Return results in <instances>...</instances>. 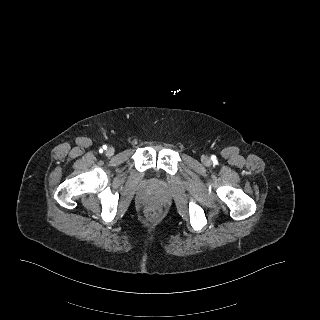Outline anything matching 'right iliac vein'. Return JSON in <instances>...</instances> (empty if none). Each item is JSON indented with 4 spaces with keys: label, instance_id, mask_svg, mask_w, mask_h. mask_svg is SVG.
<instances>
[{
    "label": "right iliac vein",
    "instance_id": "63e3f726",
    "mask_svg": "<svg viewBox=\"0 0 320 320\" xmlns=\"http://www.w3.org/2000/svg\"><path fill=\"white\" fill-rule=\"evenodd\" d=\"M114 154V149L113 148H108L107 150H106V155L107 156H112Z\"/></svg>",
    "mask_w": 320,
    "mask_h": 320
}]
</instances>
